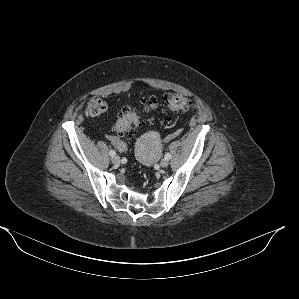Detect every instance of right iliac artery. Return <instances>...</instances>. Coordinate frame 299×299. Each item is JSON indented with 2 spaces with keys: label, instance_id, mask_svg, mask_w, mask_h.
Segmentation results:
<instances>
[{
  "label": "right iliac artery",
  "instance_id": "obj_1",
  "mask_svg": "<svg viewBox=\"0 0 299 299\" xmlns=\"http://www.w3.org/2000/svg\"><path fill=\"white\" fill-rule=\"evenodd\" d=\"M109 155L113 157V156L116 155V152H115L114 150H110V151H109Z\"/></svg>",
  "mask_w": 299,
  "mask_h": 299
}]
</instances>
